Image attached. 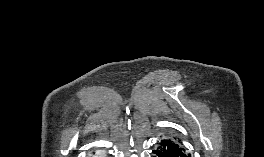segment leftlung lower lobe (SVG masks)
<instances>
[{
	"label": "left lung lower lobe",
	"instance_id": "left-lung-lower-lobe-1",
	"mask_svg": "<svg viewBox=\"0 0 264 157\" xmlns=\"http://www.w3.org/2000/svg\"><path fill=\"white\" fill-rule=\"evenodd\" d=\"M152 157H191L185 150L172 139H163L158 142V146L153 150Z\"/></svg>",
	"mask_w": 264,
	"mask_h": 157
}]
</instances>
